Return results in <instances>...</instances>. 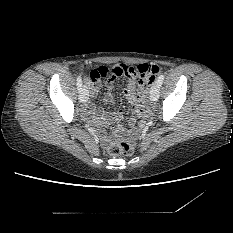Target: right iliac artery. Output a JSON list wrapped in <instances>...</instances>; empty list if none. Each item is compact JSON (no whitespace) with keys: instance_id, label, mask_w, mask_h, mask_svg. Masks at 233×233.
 I'll use <instances>...</instances> for the list:
<instances>
[{"instance_id":"right-iliac-artery-1","label":"right iliac artery","mask_w":233,"mask_h":233,"mask_svg":"<svg viewBox=\"0 0 233 233\" xmlns=\"http://www.w3.org/2000/svg\"><path fill=\"white\" fill-rule=\"evenodd\" d=\"M81 86H82V80H81V77L78 76V78H77V87H78V90L81 89Z\"/></svg>"}]
</instances>
